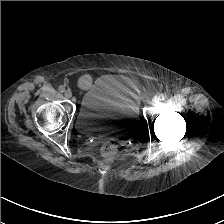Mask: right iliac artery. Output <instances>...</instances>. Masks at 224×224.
<instances>
[{
  "label": "right iliac artery",
  "mask_w": 224,
  "mask_h": 224,
  "mask_svg": "<svg viewBox=\"0 0 224 224\" xmlns=\"http://www.w3.org/2000/svg\"><path fill=\"white\" fill-rule=\"evenodd\" d=\"M58 90L60 92H65V87L63 85L59 86Z\"/></svg>",
  "instance_id": "right-iliac-artery-1"
}]
</instances>
